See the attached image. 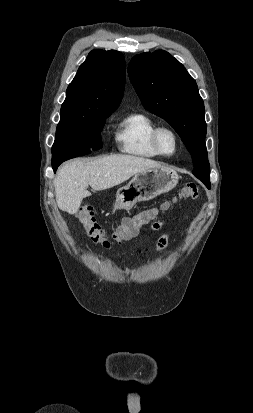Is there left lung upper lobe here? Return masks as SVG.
<instances>
[{
	"label": "left lung upper lobe",
	"mask_w": 253,
	"mask_h": 413,
	"mask_svg": "<svg viewBox=\"0 0 253 413\" xmlns=\"http://www.w3.org/2000/svg\"><path fill=\"white\" fill-rule=\"evenodd\" d=\"M128 74L144 108L165 119L183 140L192 156L193 174L210 181L204 103L196 81L164 50L136 55Z\"/></svg>",
	"instance_id": "5c2ea615"
}]
</instances>
